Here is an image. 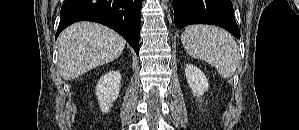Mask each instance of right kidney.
<instances>
[{
  "mask_svg": "<svg viewBox=\"0 0 299 130\" xmlns=\"http://www.w3.org/2000/svg\"><path fill=\"white\" fill-rule=\"evenodd\" d=\"M121 74L119 71H110L103 75L96 85V96L101 111L109 112L113 102L119 96Z\"/></svg>",
  "mask_w": 299,
  "mask_h": 130,
  "instance_id": "right-kidney-1",
  "label": "right kidney"
}]
</instances>
